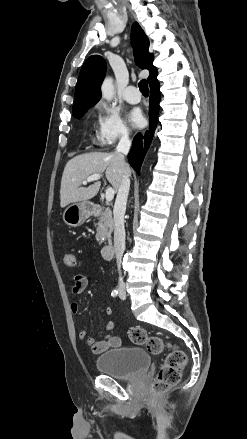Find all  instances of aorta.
<instances>
[{"label":"aorta","mask_w":247,"mask_h":439,"mask_svg":"<svg viewBox=\"0 0 247 439\" xmlns=\"http://www.w3.org/2000/svg\"><path fill=\"white\" fill-rule=\"evenodd\" d=\"M101 93H102V97L105 100L107 101L113 100L115 95V88L113 84V79L111 77H107L103 81V84L101 86Z\"/></svg>","instance_id":"1"}]
</instances>
